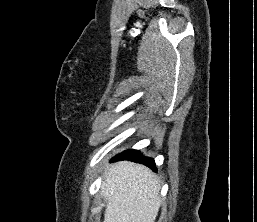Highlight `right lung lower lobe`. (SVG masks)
Here are the masks:
<instances>
[{"mask_svg": "<svg viewBox=\"0 0 257 222\" xmlns=\"http://www.w3.org/2000/svg\"><path fill=\"white\" fill-rule=\"evenodd\" d=\"M118 160H130V161H136L139 163H142L148 167H150L153 171H156L155 162L152 158L144 157L140 154L139 151L129 149L126 150L112 159V161H118Z\"/></svg>", "mask_w": 257, "mask_h": 222, "instance_id": "1", "label": "right lung lower lobe"}]
</instances>
